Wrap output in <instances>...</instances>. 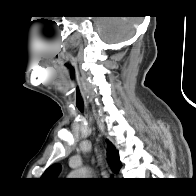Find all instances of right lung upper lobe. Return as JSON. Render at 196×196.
<instances>
[{
	"label": "right lung upper lobe",
	"mask_w": 196,
	"mask_h": 196,
	"mask_svg": "<svg viewBox=\"0 0 196 196\" xmlns=\"http://www.w3.org/2000/svg\"><path fill=\"white\" fill-rule=\"evenodd\" d=\"M108 156H109V160H110V165L112 170L117 173L119 172L120 168H121V162L119 160V153L118 150H116V148L109 142V150H108ZM61 170V166L60 164H54L52 166H50L42 175V178L44 179H55L56 176L59 174Z\"/></svg>",
	"instance_id": "obj_1"
}]
</instances>
